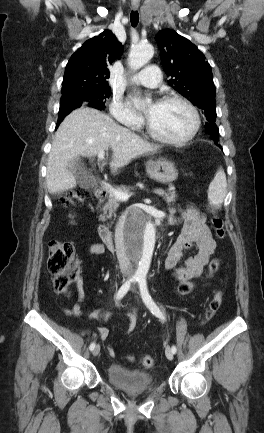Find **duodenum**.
Wrapping results in <instances>:
<instances>
[{
    "instance_id": "duodenum-1",
    "label": "duodenum",
    "mask_w": 264,
    "mask_h": 433,
    "mask_svg": "<svg viewBox=\"0 0 264 433\" xmlns=\"http://www.w3.org/2000/svg\"><path fill=\"white\" fill-rule=\"evenodd\" d=\"M94 197L97 200H103L105 198V192L102 189H97L94 192ZM99 236L103 240V242L109 247L114 250L115 246V240L114 237L116 236V232L110 229L107 225L101 224L99 226ZM126 255V261L123 262L125 267H127V258L128 253L124 250Z\"/></svg>"
}]
</instances>
